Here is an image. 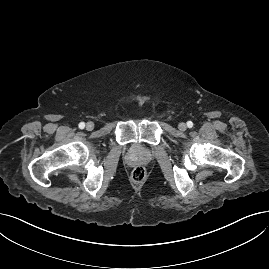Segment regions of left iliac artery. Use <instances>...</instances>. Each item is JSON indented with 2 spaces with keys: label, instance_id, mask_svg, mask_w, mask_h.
Returning <instances> with one entry per match:
<instances>
[{
  "label": "left iliac artery",
  "instance_id": "1",
  "mask_svg": "<svg viewBox=\"0 0 269 269\" xmlns=\"http://www.w3.org/2000/svg\"><path fill=\"white\" fill-rule=\"evenodd\" d=\"M187 126H188L189 128H192V127H193V122H192V121H188V122H187Z\"/></svg>",
  "mask_w": 269,
  "mask_h": 269
}]
</instances>
